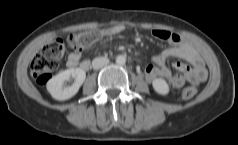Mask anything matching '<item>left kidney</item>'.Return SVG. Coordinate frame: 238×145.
I'll return each instance as SVG.
<instances>
[{"mask_svg": "<svg viewBox=\"0 0 238 145\" xmlns=\"http://www.w3.org/2000/svg\"><path fill=\"white\" fill-rule=\"evenodd\" d=\"M154 90L162 95H166L169 93V86L167 82L162 78H156L152 82Z\"/></svg>", "mask_w": 238, "mask_h": 145, "instance_id": "obj_1", "label": "left kidney"}]
</instances>
